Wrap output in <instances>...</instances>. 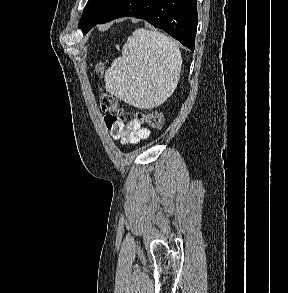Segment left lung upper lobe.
I'll list each match as a JSON object with an SVG mask.
<instances>
[{
  "instance_id": "5c2ea615",
  "label": "left lung upper lobe",
  "mask_w": 288,
  "mask_h": 293,
  "mask_svg": "<svg viewBox=\"0 0 288 293\" xmlns=\"http://www.w3.org/2000/svg\"><path fill=\"white\" fill-rule=\"evenodd\" d=\"M118 0H89L79 22V28L86 34Z\"/></svg>"
}]
</instances>
